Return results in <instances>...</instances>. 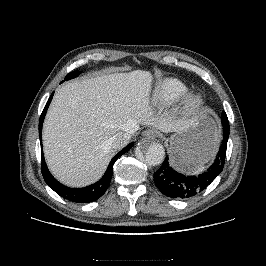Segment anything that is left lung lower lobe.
Listing matches in <instances>:
<instances>
[{"mask_svg": "<svg viewBox=\"0 0 266 266\" xmlns=\"http://www.w3.org/2000/svg\"><path fill=\"white\" fill-rule=\"evenodd\" d=\"M223 141L214 163L198 176H186L176 172L169 163L168 156L162 166L154 173L157 188L171 198L185 199L202 192L221 173L225 163L227 141L229 138V122L222 112Z\"/></svg>", "mask_w": 266, "mask_h": 266, "instance_id": "1", "label": "left lung lower lobe"}]
</instances>
